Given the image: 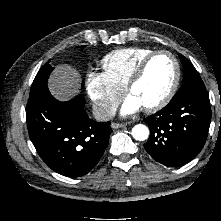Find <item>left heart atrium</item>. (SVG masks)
Wrapping results in <instances>:
<instances>
[{"mask_svg": "<svg viewBox=\"0 0 221 221\" xmlns=\"http://www.w3.org/2000/svg\"><path fill=\"white\" fill-rule=\"evenodd\" d=\"M141 107L142 105L140 102L132 95H129L126 97L122 104L121 114L124 116L131 115L137 112Z\"/></svg>", "mask_w": 221, "mask_h": 221, "instance_id": "1", "label": "left heart atrium"}]
</instances>
